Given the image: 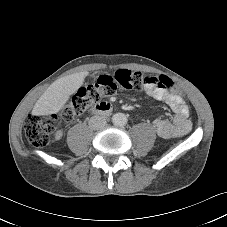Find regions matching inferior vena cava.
I'll list each match as a JSON object with an SVG mask.
<instances>
[{
    "label": "inferior vena cava",
    "mask_w": 227,
    "mask_h": 227,
    "mask_svg": "<svg viewBox=\"0 0 227 227\" xmlns=\"http://www.w3.org/2000/svg\"><path fill=\"white\" fill-rule=\"evenodd\" d=\"M106 124H107L106 119L98 115L91 117L89 120V126L94 130L103 128L106 126Z\"/></svg>",
    "instance_id": "inferior-vena-cava-1"
}]
</instances>
